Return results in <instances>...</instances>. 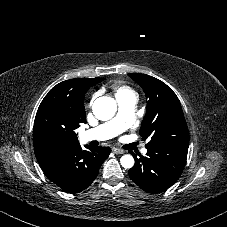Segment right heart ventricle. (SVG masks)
<instances>
[{"label": "right heart ventricle", "mask_w": 227, "mask_h": 227, "mask_svg": "<svg viewBox=\"0 0 227 227\" xmlns=\"http://www.w3.org/2000/svg\"><path fill=\"white\" fill-rule=\"evenodd\" d=\"M111 91L114 93L118 103L122 100L136 97V92L132 87L122 81H115L110 86Z\"/></svg>", "instance_id": "right-heart-ventricle-1"}]
</instances>
